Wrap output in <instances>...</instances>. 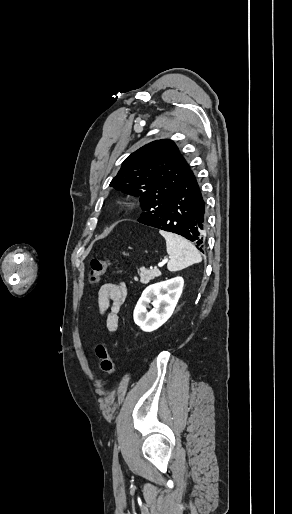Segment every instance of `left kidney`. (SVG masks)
<instances>
[{
	"label": "left kidney",
	"mask_w": 292,
	"mask_h": 514,
	"mask_svg": "<svg viewBox=\"0 0 292 514\" xmlns=\"http://www.w3.org/2000/svg\"><path fill=\"white\" fill-rule=\"evenodd\" d=\"M183 286V278H172V280L158 282V284H152L145 288L134 310L135 324L143 332L158 330L172 316L182 294ZM149 304L153 306L150 312L147 310L150 308Z\"/></svg>",
	"instance_id": "obj_1"
}]
</instances>
